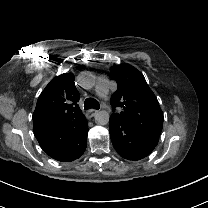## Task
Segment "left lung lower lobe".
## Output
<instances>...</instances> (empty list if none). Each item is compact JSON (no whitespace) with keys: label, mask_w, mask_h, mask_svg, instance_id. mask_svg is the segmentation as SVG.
I'll return each instance as SVG.
<instances>
[{"label":"left lung lower lobe","mask_w":208,"mask_h":208,"mask_svg":"<svg viewBox=\"0 0 208 208\" xmlns=\"http://www.w3.org/2000/svg\"><path fill=\"white\" fill-rule=\"evenodd\" d=\"M109 131L115 150L124 159L138 161L151 154L156 147L154 143L115 114L110 116Z\"/></svg>","instance_id":"left-lung-lower-lobe-1"}]
</instances>
